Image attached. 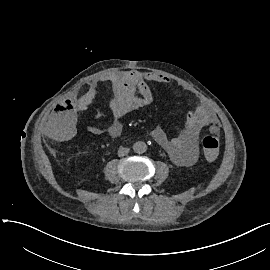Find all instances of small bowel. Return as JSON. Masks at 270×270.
Masks as SVG:
<instances>
[{"label":"small bowel","instance_id":"small-bowel-1","mask_svg":"<svg viewBox=\"0 0 270 270\" xmlns=\"http://www.w3.org/2000/svg\"><path fill=\"white\" fill-rule=\"evenodd\" d=\"M110 84L112 96L110 109L113 122L105 127L91 126L89 132L95 136L105 135L117 139L123 131V120L130 112L141 109L151 103L153 92L150 83L168 84L170 79L157 73L137 70L116 71L102 75L88 84L86 91L75 101L71 97H61L53 105V113L44 123L45 132L59 141L71 138L80 128L77 113L83 112L95 98L100 84ZM204 128L218 132L217 118L201 100L186 115L184 129L174 137L157 127L151 135L178 165L195 163L199 154L198 136Z\"/></svg>","mask_w":270,"mask_h":270}]
</instances>
